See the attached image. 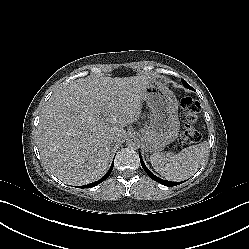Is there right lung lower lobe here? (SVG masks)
Instances as JSON below:
<instances>
[{
	"mask_svg": "<svg viewBox=\"0 0 249 249\" xmlns=\"http://www.w3.org/2000/svg\"><path fill=\"white\" fill-rule=\"evenodd\" d=\"M113 165H114V162H113L111 168L109 169L108 173L103 178H101L100 180H98V181H96L94 183H90L88 185H84V186H81V187H83V188H91L93 186H97L98 184H100L102 181H104L105 179H107L109 177V175H110V173L112 171Z\"/></svg>",
	"mask_w": 249,
	"mask_h": 249,
	"instance_id": "98d812e1",
	"label": "right lung lower lobe"
}]
</instances>
